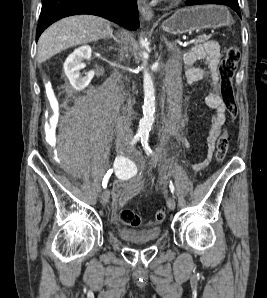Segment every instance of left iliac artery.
Returning a JSON list of instances; mask_svg holds the SVG:
<instances>
[{
  "instance_id": "obj_1",
  "label": "left iliac artery",
  "mask_w": 267,
  "mask_h": 298,
  "mask_svg": "<svg viewBox=\"0 0 267 298\" xmlns=\"http://www.w3.org/2000/svg\"><path fill=\"white\" fill-rule=\"evenodd\" d=\"M141 144H142L143 149L145 150L146 154L150 155L152 153V150H151L149 142H148V135L141 137ZM169 188H170L171 193L174 194L175 188H174L172 181H170V183H169Z\"/></svg>"
}]
</instances>
